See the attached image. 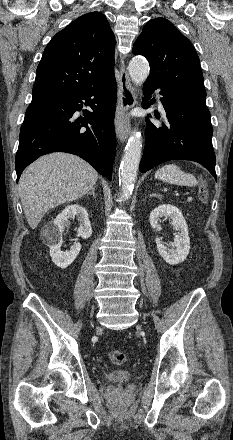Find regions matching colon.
<instances>
[{"label":"colon","mask_w":233,"mask_h":440,"mask_svg":"<svg viewBox=\"0 0 233 440\" xmlns=\"http://www.w3.org/2000/svg\"><path fill=\"white\" fill-rule=\"evenodd\" d=\"M208 190L204 186H200L197 191V197L200 203L206 204L208 201ZM108 357L114 364H123L126 360V354L119 350H111L108 352Z\"/></svg>","instance_id":"colon-1"}]
</instances>
